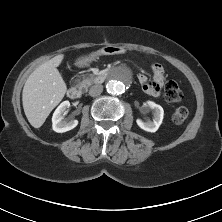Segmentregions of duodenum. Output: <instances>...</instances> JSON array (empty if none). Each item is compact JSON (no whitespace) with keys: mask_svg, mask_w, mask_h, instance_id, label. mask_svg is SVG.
Here are the masks:
<instances>
[{"mask_svg":"<svg viewBox=\"0 0 222 222\" xmlns=\"http://www.w3.org/2000/svg\"><path fill=\"white\" fill-rule=\"evenodd\" d=\"M106 79L105 73H99L95 76L94 80L96 83H103ZM67 95L70 99L76 100L79 99L82 95L81 90L78 87L72 86L67 90Z\"/></svg>","mask_w":222,"mask_h":222,"instance_id":"obj_1","label":"duodenum"}]
</instances>
